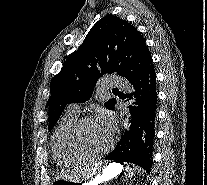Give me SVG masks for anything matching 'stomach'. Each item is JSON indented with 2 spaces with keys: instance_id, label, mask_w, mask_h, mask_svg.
Returning a JSON list of instances; mask_svg holds the SVG:
<instances>
[{
  "instance_id": "obj_1",
  "label": "stomach",
  "mask_w": 207,
  "mask_h": 185,
  "mask_svg": "<svg viewBox=\"0 0 207 185\" xmlns=\"http://www.w3.org/2000/svg\"><path fill=\"white\" fill-rule=\"evenodd\" d=\"M123 169L124 167L117 163H110L108 166H106L103 169L102 173L99 174L96 178L82 185H99L101 183L107 182L117 177L123 171ZM77 184L78 182L69 179H56L53 182V185H77Z\"/></svg>"
}]
</instances>
